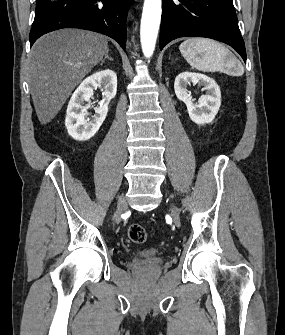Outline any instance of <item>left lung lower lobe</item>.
<instances>
[{
	"mask_svg": "<svg viewBox=\"0 0 285 335\" xmlns=\"http://www.w3.org/2000/svg\"><path fill=\"white\" fill-rule=\"evenodd\" d=\"M160 50L179 37H206L233 47L246 62L233 0H163Z\"/></svg>",
	"mask_w": 285,
	"mask_h": 335,
	"instance_id": "0a47b994",
	"label": "left lung lower lobe"
}]
</instances>
